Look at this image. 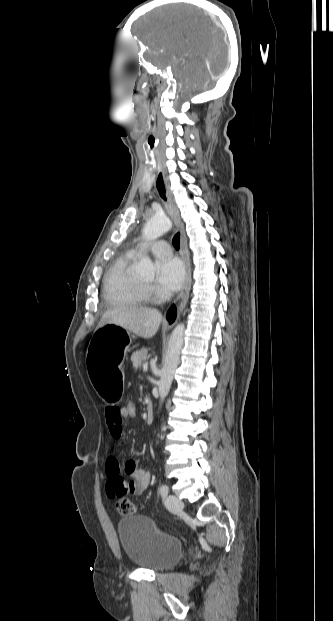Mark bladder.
Masks as SVG:
<instances>
[{"label":"bladder","mask_w":333,"mask_h":621,"mask_svg":"<svg viewBox=\"0 0 333 621\" xmlns=\"http://www.w3.org/2000/svg\"><path fill=\"white\" fill-rule=\"evenodd\" d=\"M117 531L125 555L140 568L163 571L171 568L182 556L181 541L161 531L145 516L122 518L118 521Z\"/></svg>","instance_id":"obj_1"}]
</instances>
